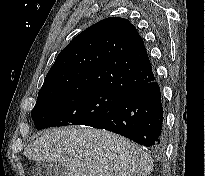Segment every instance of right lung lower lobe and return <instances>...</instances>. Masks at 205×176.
<instances>
[{
  "instance_id": "98d812e1",
  "label": "right lung lower lobe",
  "mask_w": 205,
  "mask_h": 176,
  "mask_svg": "<svg viewBox=\"0 0 205 176\" xmlns=\"http://www.w3.org/2000/svg\"><path fill=\"white\" fill-rule=\"evenodd\" d=\"M160 152L165 147L161 93L155 79L129 91L101 120L91 125Z\"/></svg>"
}]
</instances>
